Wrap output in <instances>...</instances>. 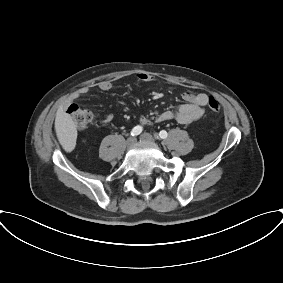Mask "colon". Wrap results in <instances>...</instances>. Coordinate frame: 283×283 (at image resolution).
<instances>
[{"label": "colon", "instance_id": "1", "mask_svg": "<svg viewBox=\"0 0 283 283\" xmlns=\"http://www.w3.org/2000/svg\"><path fill=\"white\" fill-rule=\"evenodd\" d=\"M207 103L208 108L212 113L216 114L220 111V104L215 97L210 96ZM66 114L78 129H85L93 122L92 113L76 104L70 105L66 111Z\"/></svg>", "mask_w": 283, "mask_h": 283}]
</instances>
